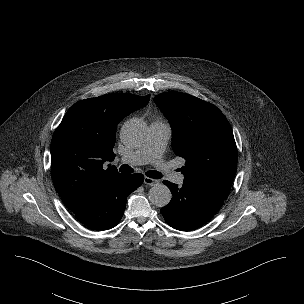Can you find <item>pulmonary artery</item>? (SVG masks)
I'll return each instance as SVG.
<instances>
[{
	"label": "pulmonary artery",
	"instance_id": "pulmonary-artery-1",
	"mask_svg": "<svg viewBox=\"0 0 304 304\" xmlns=\"http://www.w3.org/2000/svg\"><path fill=\"white\" fill-rule=\"evenodd\" d=\"M171 136V127L162 121H154L150 124L149 137L141 148L123 156L121 161L131 165H143L152 163L160 168L169 180L182 184L184 174L172 172L163 162V153Z\"/></svg>",
	"mask_w": 304,
	"mask_h": 304
}]
</instances>
